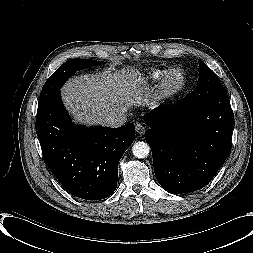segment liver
Wrapping results in <instances>:
<instances>
[{
    "instance_id": "1",
    "label": "liver",
    "mask_w": 253,
    "mask_h": 253,
    "mask_svg": "<svg viewBox=\"0 0 253 253\" xmlns=\"http://www.w3.org/2000/svg\"><path fill=\"white\" fill-rule=\"evenodd\" d=\"M61 93L74 121L89 126H104L110 116L124 115L150 97L144 77L133 69L75 77Z\"/></svg>"
}]
</instances>
